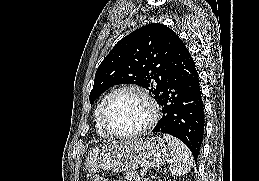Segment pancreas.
Returning a JSON list of instances; mask_svg holds the SVG:
<instances>
[{"label": "pancreas", "instance_id": "cf45deb5", "mask_svg": "<svg viewBox=\"0 0 259 181\" xmlns=\"http://www.w3.org/2000/svg\"><path fill=\"white\" fill-rule=\"evenodd\" d=\"M125 179L127 181H142L139 174L135 171H129L125 173Z\"/></svg>", "mask_w": 259, "mask_h": 181}]
</instances>
